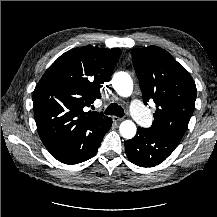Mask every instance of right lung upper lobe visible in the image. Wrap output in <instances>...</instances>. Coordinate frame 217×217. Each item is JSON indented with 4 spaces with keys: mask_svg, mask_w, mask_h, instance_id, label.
<instances>
[{
    "mask_svg": "<svg viewBox=\"0 0 217 217\" xmlns=\"http://www.w3.org/2000/svg\"><path fill=\"white\" fill-rule=\"evenodd\" d=\"M121 50L93 46L62 54L45 72L33 93L34 115L48 151L77 144L109 117L85 112L108 82Z\"/></svg>",
    "mask_w": 217,
    "mask_h": 217,
    "instance_id": "right-lung-upper-lobe-1",
    "label": "right lung upper lobe"
}]
</instances>
